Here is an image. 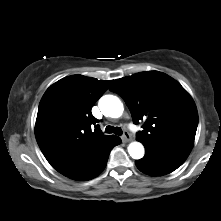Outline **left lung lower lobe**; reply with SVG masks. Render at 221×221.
<instances>
[{
    "mask_svg": "<svg viewBox=\"0 0 221 221\" xmlns=\"http://www.w3.org/2000/svg\"><path fill=\"white\" fill-rule=\"evenodd\" d=\"M192 150L190 145L145 147L144 158L135 161L137 168L151 176H162L180 167Z\"/></svg>",
    "mask_w": 221,
    "mask_h": 221,
    "instance_id": "obj_1",
    "label": "left lung lower lobe"
}]
</instances>
